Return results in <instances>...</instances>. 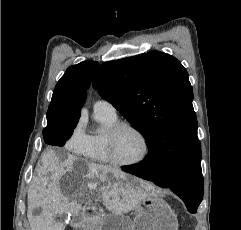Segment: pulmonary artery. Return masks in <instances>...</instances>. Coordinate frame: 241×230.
I'll return each mask as SVG.
<instances>
[{
	"mask_svg": "<svg viewBox=\"0 0 241 230\" xmlns=\"http://www.w3.org/2000/svg\"><path fill=\"white\" fill-rule=\"evenodd\" d=\"M93 109L95 113H104L111 116H117L115 107L106 100L96 101L94 103Z\"/></svg>",
	"mask_w": 241,
	"mask_h": 230,
	"instance_id": "1",
	"label": "pulmonary artery"
}]
</instances>
